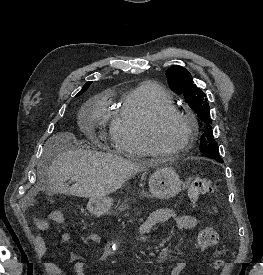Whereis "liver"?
<instances>
[{"label":"liver","instance_id":"obj_1","mask_svg":"<svg viewBox=\"0 0 263 275\" xmlns=\"http://www.w3.org/2000/svg\"><path fill=\"white\" fill-rule=\"evenodd\" d=\"M73 144L77 141L69 132L56 134L46 143V152L54 150V158L46 170L50 193L103 198L148 165L113 154L76 149ZM69 179L76 182L71 187L65 183Z\"/></svg>","mask_w":263,"mask_h":275}]
</instances>
